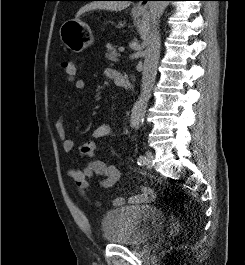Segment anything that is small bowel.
<instances>
[{
  "instance_id": "1",
  "label": "small bowel",
  "mask_w": 245,
  "mask_h": 265,
  "mask_svg": "<svg viewBox=\"0 0 245 265\" xmlns=\"http://www.w3.org/2000/svg\"><path fill=\"white\" fill-rule=\"evenodd\" d=\"M119 72L114 69H107L106 75L112 79ZM78 91L86 90L87 84L84 80H78L74 85ZM55 130L62 142V148L65 152H71L74 149V141L67 137L64 117L60 116L55 123ZM113 133L112 128L108 124H100L96 126L92 132V136L95 139H102L111 136ZM68 176L74 181L75 187L78 193L89 203L94 202L99 205L97 201H93L90 198V180L98 176L100 177L99 185L102 188H110L114 186L121 177L120 170L112 164H108L102 160L94 159L89 161L81 168H70L67 171ZM156 199V194L153 189L147 186L140 187V193L133 195L128 199L130 204H143L150 203ZM123 197H116L112 204L114 207H122L125 204Z\"/></svg>"
}]
</instances>
